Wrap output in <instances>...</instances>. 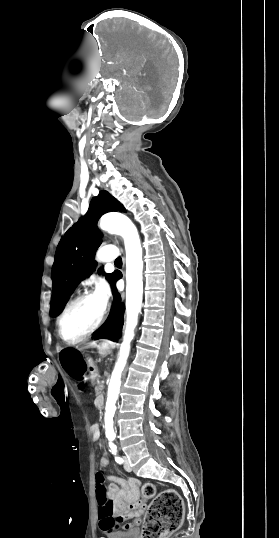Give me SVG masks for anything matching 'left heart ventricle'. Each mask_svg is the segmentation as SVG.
Here are the masks:
<instances>
[{"label": "left heart ventricle", "instance_id": "left-heart-ventricle-1", "mask_svg": "<svg viewBox=\"0 0 279 538\" xmlns=\"http://www.w3.org/2000/svg\"><path fill=\"white\" fill-rule=\"evenodd\" d=\"M102 304L97 296L76 303L62 322V333L68 341H74L87 332L96 322Z\"/></svg>", "mask_w": 279, "mask_h": 538}]
</instances>
